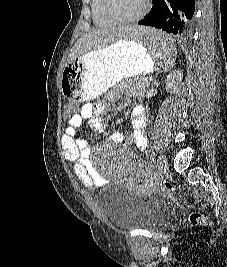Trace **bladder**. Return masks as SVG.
Masks as SVG:
<instances>
[{
	"label": "bladder",
	"instance_id": "obj_1",
	"mask_svg": "<svg viewBox=\"0 0 227 267\" xmlns=\"http://www.w3.org/2000/svg\"><path fill=\"white\" fill-rule=\"evenodd\" d=\"M100 203L109 222L123 229L157 230L170 216L169 207L152 194L137 195L118 185H111Z\"/></svg>",
	"mask_w": 227,
	"mask_h": 267
}]
</instances>
